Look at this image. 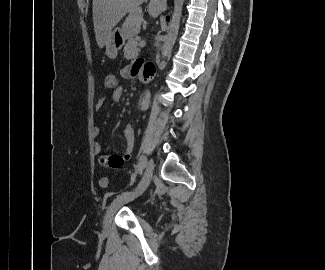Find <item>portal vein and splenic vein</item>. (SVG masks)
<instances>
[{
    "mask_svg": "<svg viewBox=\"0 0 325 270\" xmlns=\"http://www.w3.org/2000/svg\"><path fill=\"white\" fill-rule=\"evenodd\" d=\"M140 46H141V47H144V46H145V41H142V42L140 43Z\"/></svg>",
    "mask_w": 325,
    "mask_h": 270,
    "instance_id": "1",
    "label": "portal vein and splenic vein"
}]
</instances>
